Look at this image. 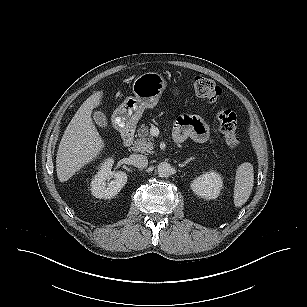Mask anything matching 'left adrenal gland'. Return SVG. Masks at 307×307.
<instances>
[{"mask_svg": "<svg viewBox=\"0 0 307 307\" xmlns=\"http://www.w3.org/2000/svg\"><path fill=\"white\" fill-rule=\"evenodd\" d=\"M192 160V158L187 159L185 162H183L180 166L184 167L187 163H189Z\"/></svg>", "mask_w": 307, "mask_h": 307, "instance_id": "obj_1", "label": "left adrenal gland"}]
</instances>
